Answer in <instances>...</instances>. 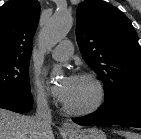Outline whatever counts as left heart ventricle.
<instances>
[{
    "label": "left heart ventricle",
    "mask_w": 141,
    "mask_h": 139,
    "mask_svg": "<svg viewBox=\"0 0 141 139\" xmlns=\"http://www.w3.org/2000/svg\"><path fill=\"white\" fill-rule=\"evenodd\" d=\"M96 98L94 85L85 79L74 78L66 105L73 108H82L90 105Z\"/></svg>",
    "instance_id": "left-heart-ventricle-1"
}]
</instances>
